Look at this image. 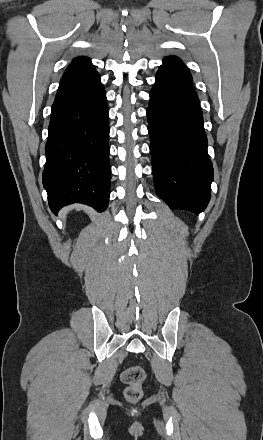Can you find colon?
Returning <instances> with one entry per match:
<instances>
[{"label":"colon","mask_w":263,"mask_h":440,"mask_svg":"<svg viewBox=\"0 0 263 440\" xmlns=\"http://www.w3.org/2000/svg\"><path fill=\"white\" fill-rule=\"evenodd\" d=\"M123 382L127 385L125 398L129 402H136L142 397V383L145 380V371L140 366L126 369L122 375Z\"/></svg>","instance_id":"colon-1"}]
</instances>
